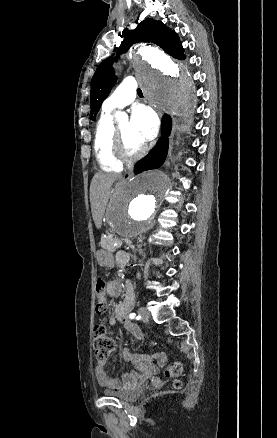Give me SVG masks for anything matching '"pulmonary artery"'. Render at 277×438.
Instances as JSON below:
<instances>
[{
	"mask_svg": "<svg viewBox=\"0 0 277 438\" xmlns=\"http://www.w3.org/2000/svg\"><path fill=\"white\" fill-rule=\"evenodd\" d=\"M137 83L133 76H126L124 81L120 82V88L117 95H109L103 105V111L106 114H113L122 108L131 104L136 95Z\"/></svg>",
	"mask_w": 277,
	"mask_h": 438,
	"instance_id": "pulmonary-artery-1",
	"label": "pulmonary artery"
}]
</instances>
